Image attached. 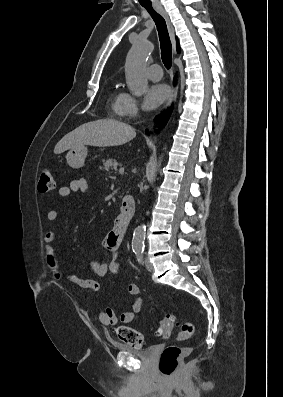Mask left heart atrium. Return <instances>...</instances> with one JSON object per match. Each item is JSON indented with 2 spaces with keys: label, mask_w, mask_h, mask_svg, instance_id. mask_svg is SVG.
<instances>
[{
  "label": "left heart atrium",
  "mask_w": 283,
  "mask_h": 397,
  "mask_svg": "<svg viewBox=\"0 0 283 397\" xmlns=\"http://www.w3.org/2000/svg\"><path fill=\"white\" fill-rule=\"evenodd\" d=\"M169 96V88L164 84H154L149 87L145 99L144 107L147 110H154L160 107Z\"/></svg>",
  "instance_id": "39dd6f15"
}]
</instances>
